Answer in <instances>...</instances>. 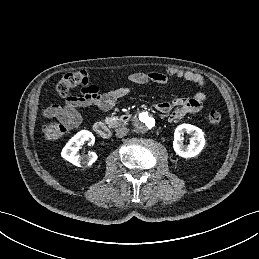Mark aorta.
<instances>
[{
  "instance_id": "aorta-1",
  "label": "aorta",
  "mask_w": 259,
  "mask_h": 259,
  "mask_svg": "<svg viewBox=\"0 0 259 259\" xmlns=\"http://www.w3.org/2000/svg\"><path fill=\"white\" fill-rule=\"evenodd\" d=\"M154 124H155V119L149 112H142L135 119V125L139 129L152 128Z\"/></svg>"
}]
</instances>
